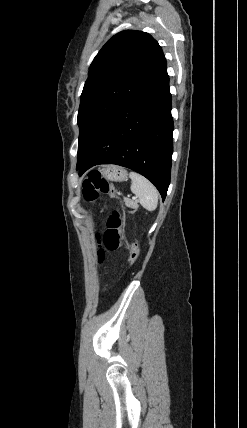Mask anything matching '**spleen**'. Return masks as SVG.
Here are the masks:
<instances>
[{"instance_id":"3e777b00","label":"spleen","mask_w":247,"mask_h":428,"mask_svg":"<svg viewBox=\"0 0 247 428\" xmlns=\"http://www.w3.org/2000/svg\"><path fill=\"white\" fill-rule=\"evenodd\" d=\"M131 191L137 196L139 203L147 210L153 211L158 205V191L155 186L142 175L131 172Z\"/></svg>"}]
</instances>
